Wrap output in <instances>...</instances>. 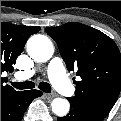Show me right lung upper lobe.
<instances>
[{
	"label": "right lung upper lobe",
	"instance_id": "right-lung-upper-lobe-1",
	"mask_svg": "<svg viewBox=\"0 0 121 121\" xmlns=\"http://www.w3.org/2000/svg\"><path fill=\"white\" fill-rule=\"evenodd\" d=\"M40 30L38 26L14 25L1 22V75L3 72H12L13 64L23 51L27 39ZM6 77H1V101L15 91L9 85H4Z\"/></svg>",
	"mask_w": 121,
	"mask_h": 121
}]
</instances>
